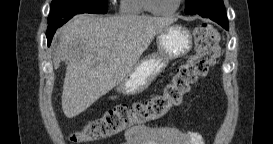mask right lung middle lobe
Wrapping results in <instances>:
<instances>
[{"instance_id":"dd1d6c3e","label":"right lung middle lobe","mask_w":273,"mask_h":144,"mask_svg":"<svg viewBox=\"0 0 273 144\" xmlns=\"http://www.w3.org/2000/svg\"><path fill=\"white\" fill-rule=\"evenodd\" d=\"M48 17L47 34L55 31L61 20L78 13L105 14L107 0H52Z\"/></svg>"}]
</instances>
